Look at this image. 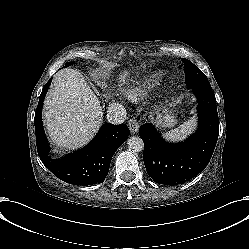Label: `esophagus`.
<instances>
[{
	"mask_svg": "<svg viewBox=\"0 0 249 249\" xmlns=\"http://www.w3.org/2000/svg\"><path fill=\"white\" fill-rule=\"evenodd\" d=\"M131 134H136L139 130V124L135 119H130L128 122Z\"/></svg>",
	"mask_w": 249,
	"mask_h": 249,
	"instance_id": "34e87169",
	"label": "esophagus"
}]
</instances>
